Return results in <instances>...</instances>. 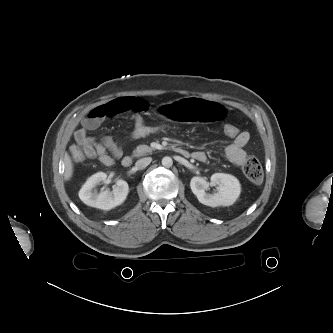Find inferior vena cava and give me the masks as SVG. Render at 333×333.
<instances>
[{"label":"inferior vena cava","mask_w":333,"mask_h":333,"mask_svg":"<svg viewBox=\"0 0 333 333\" xmlns=\"http://www.w3.org/2000/svg\"><path fill=\"white\" fill-rule=\"evenodd\" d=\"M151 161H152L151 157H145V158L139 159L135 163V166L137 169L142 170V169L146 168L150 164Z\"/></svg>","instance_id":"obj_1"}]
</instances>
